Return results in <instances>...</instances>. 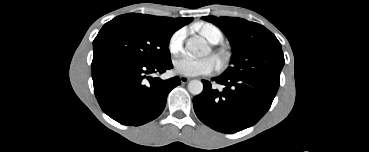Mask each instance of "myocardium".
<instances>
[{
  "label": "myocardium",
  "instance_id": "f54148a6",
  "mask_svg": "<svg viewBox=\"0 0 369 152\" xmlns=\"http://www.w3.org/2000/svg\"><path fill=\"white\" fill-rule=\"evenodd\" d=\"M216 57H217L219 66L220 67L224 66L225 65V62H226L225 55L223 53H217Z\"/></svg>",
  "mask_w": 369,
  "mask_h": 152
}]
</instances>
